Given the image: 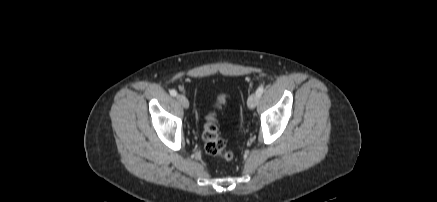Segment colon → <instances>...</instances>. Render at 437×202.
Segmentation results:
<instances>
[{
	"label": "colon",
	"mask_w": 437,
	"mask_h": 202,
	"mask_svg": "<svg viewBox=\"0 0 437 202\" xmlns=\"http://www.w3.org/2000/svg\"><path fill=\"white\" fill-rule=\"evenodd\" d=\"M226 101V95L220 94L214 104L215 108L221 107ZM204 148L206 153L212 156H219L227 162H232L234 155L231 151L225 150L226 142L218 133L215 113L210 112L206 116L204 129L202 133Z\"/></svg>",
	"instance_id": "1"
}]
</instances>
